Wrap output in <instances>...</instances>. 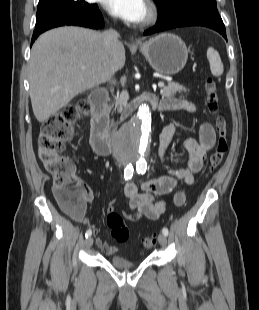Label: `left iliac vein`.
Returning a JSON list of instances; mask_svg holds the SVG:
<instances>
[{
	"label": "left iliac vein",
	"instance_id": "1",
	"mask_svg": "<svg viewBox=\"0 0 259 310\" xmlns=\"http://www.w3.org/2000/svg\"><path fill=\"white\" fill-rule=\"evenodd\" d=\"M158 241L161 246L165 247L167 245V238L164 234H159Z\"/></svg>",
	"mask_w": 259,
	"mask_h": 310
}]
</instances>
